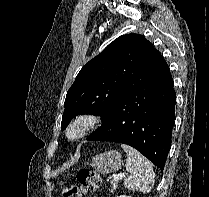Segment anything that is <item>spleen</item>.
I'll use <instances>...</instances> for the list:
<instances>
[{
  "mask_svg": "<svg viewBox=\"0 0 209 197\" xmlns=\"http://www.w3.org/2000/svg\"><path fill=\"white\" fill-rule=\"evenodd\" d=\"M121 147L127 154L126 170L130 173V176L124 180V186L144 194L149 193L155 177L149 160L131 146L121 144Z\"/></svg>",
  "mask_w": 209,
  "mask_h": 197,
  "instance_id": "obj_1",
  "label": "spleen"
}]
</instances>
